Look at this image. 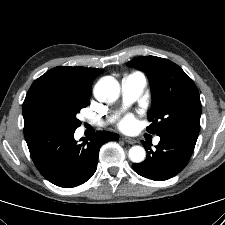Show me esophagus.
I'll return each instance as SVG.
<instances>
[{
    "label": "esophagus",
    "mask_w": 225,
    "mask_h": 225,
    "mask_svg": "<svg viewBox=\"0 0 225 225\" xmlns=\"http://www.w3.org/2000/svg\"><path fill=\"white\" fill-rule=\"evenodd\" d=\"M123 139L125 142L129 144H135L137 142L134 138H131V137H124Z\"/></svg>",
    "instance_id": "obj_1"
}]
</instances>
